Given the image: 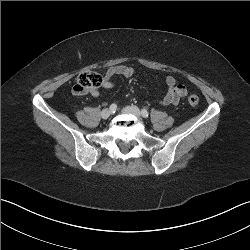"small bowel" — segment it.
Returning a JSON list of instances; mask_svg holds the SVG:
<instances>
[{"mask_svg":"<svg viewBox=\"0 0 250 250\" xmlns=\"http://www.w3.org/2000/svg\"><path fill=\"white\" fill-rule=\"evenodd\" d=\"M134 74V69L127 65H114L107 69L102 87L104 89H111L114 86L113 78L115 76H123L125 78H130ZM164 84L167 86V92L160 100V104L163 106L167 105H177L179 101L187 95V88L178 84L173 76H167L164 79ZM93 97H98L100 92L94 90L91 92Z\"/></svg>","mask_w":250,"mask_h":250,"instance_id":"small-bowel-1","label":"small bowel"}]
</instances>
